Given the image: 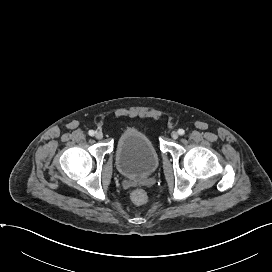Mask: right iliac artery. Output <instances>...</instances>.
<instances>
[{"label":"right iliac artery","mask_w":272,"mask_h":272,"mask_svg":"<svg viewBox=\"0 0 272 272\" xmlns=\"http://www.w3.org/2000/svg\"><path fill=\"white\" fill-rule=\"evenodd\" d=\"M89 135H90V136H94V135H95V131H94V130H90V131H89Z\"/></svg>","instance_id":"right-iliac-artery-1"}]
</instances>
